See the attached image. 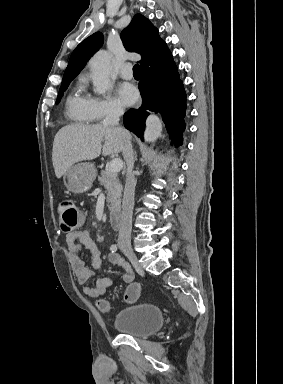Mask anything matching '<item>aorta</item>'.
Here are the masks:
<instances>
[{"label": "aorta", "instance_id": "obj_1", "mask_svg": "<svg viewBox=\"0 0 283 384\" xmlns=\"http://www.w3.org/2000/svg\"><path fill=\"white\" fill-rule=\"evenodd\" d=\"M110 61L111 54L108 51H98L90 61L92 81L95 92L105 95L110 86ZM162 124L155 115H150L146 120L144 139L146 142H154L160 136Z\"/></svg>", "mask_w": 283, "mask_h": 384}]
</instances>
